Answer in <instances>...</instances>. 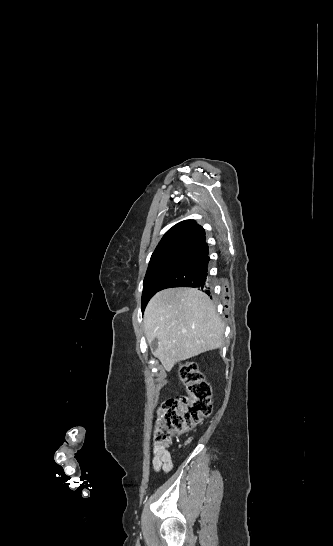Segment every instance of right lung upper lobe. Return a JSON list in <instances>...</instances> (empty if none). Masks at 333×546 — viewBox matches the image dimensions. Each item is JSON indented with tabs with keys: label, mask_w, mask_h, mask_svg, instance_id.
Wrapping results in <instances>:
<instances>
[{
	"label": "right lung upper lobe",
	"mask_w": 333,
	"mask_h": 546,
	"mask_svg": "<svg viewBox=\"0 0 333 546\" xmlns=\"http://www.w3.org/2000/svg\"><path fill=\"white\" fill-rule=\"evenodd\" d=\"M205 240V231L200 225L194 220H184L166 232L153 254L170 249L189 250Z\"/></svg>",
	"instance_id": "right-lung-upper-lobe-1"
}]
</instances>
